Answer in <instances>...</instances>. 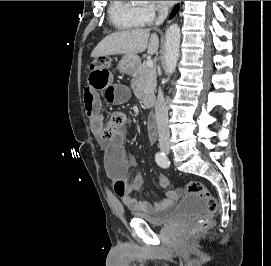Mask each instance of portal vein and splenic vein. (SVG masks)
Returning <instances> with one entry per match:
<instances>
[{
    "instance_id": "1",
    "label": "portal vein and splenic vein",
    "mask_w": 271,
    "mask_h": 266,
    "mask_svg": "<svg viewBox=\"0 0 271 266\" xmlns=\"http://www.w3.org/2000/svg\"><path fill=\"white\" fill-rule=\"evenodd\" d=\"M147 66L148 67H152L153 66V61L152 60H148L147 61Z\"/></svg>"
}]
</instances>
